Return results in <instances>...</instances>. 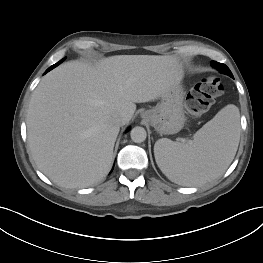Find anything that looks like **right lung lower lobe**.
<instances>
[{
    "label": "right lung lower lobe",
    "instance_id": "98d812e1",
    "mask_svg": "<svg viewBox=\"0 0 263 263\" xmlns=\"http://www.w3.org/2000/svg\"><path fill=\"white\" fill-rule=\"evenodd\" d=\"M65 60V58L64 59H62L61 61H59L58 63H56V64H54L53 66H51L45 73H47L48 71H50V70H52L53 68H55L56 66H58L61 62H63Z\"/></svg>",
    "mask_w": 263,
    "mask_h": 263
}]
</instances>
